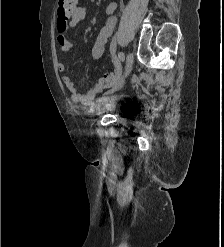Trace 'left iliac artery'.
I'll return each instance as SVG.
<instances>
[{
	"label": "left iliac artery",
	"mask_w": 224,
	"mask_h": 247,
	"mask_svg": "<svg viewBox=\"0 0 224 247\" xmlns=\"http://www.w3.org/2000/svg\"><path fill=\"white\" fill-rule=\"evenodd\" d=\"M118 57H119V59H120L121 61H124V60H125V55H124L123 52H119Z\"/></svg>",
	"instance_id": "left-iliac-artery-1"
}]
</instances>
